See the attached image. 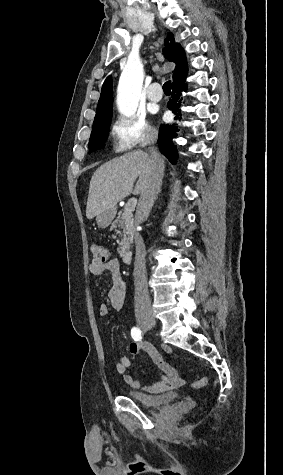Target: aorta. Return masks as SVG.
<instances>
[{"label":"aorta","mask_w":283,"mask_h":475,"mask_svg":"<svg viewBox=\"0 0 283 475\" xmlns=\"http://www.w3.org/2000/svg\"><path fill=\"white\" fill-rule=\"evenodd\" d=\"M143 78V66L140 61L129 60L122 71L117 88V107L122 115L130 117L136 112Z\"/></svg>","instance_id":"aorta-1"}]
</instances>
